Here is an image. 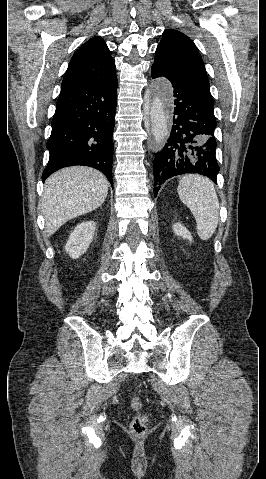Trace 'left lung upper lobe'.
<instances>
[{"instance_id":"obj_1","label":"left lung upper lobe","mask_w":266,"mask_h":479,"mask_svg":"<svg viewBox=\"0 0 266 479\" xmlns=\"http://www.w3.org/2000/svg\"><path fill=\"white\" fill-rule=\"evenodd\" d=\"M152 66L173 80L212 99L204 62L193 41L177 30H165Z\"/></svg>"}]
</instances>
